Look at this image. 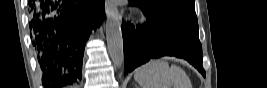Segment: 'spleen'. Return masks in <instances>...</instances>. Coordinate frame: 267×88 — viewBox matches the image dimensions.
<instances>
[{
    "mask_svg": "<svg viewBox=\"0 0 267 88\" xmlns=\"http://www.w3.org/2000/svg\"><path fill=\"white\" fill-rule=\"evenodd\" d=\"M141 88H192L183 69L162 59L151 60L139 67L134 74Z\"/></svg>",
    "mask_w": 267,
    "mask_h": 88,
    "instance_id": "3e777b00",
    "label": "spleen"
}]
</instances>
